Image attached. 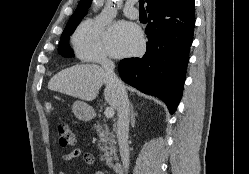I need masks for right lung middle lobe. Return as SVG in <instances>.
I'll use <instances>...</instances> for the list:
<instances>
[{
  "instance_id": "dd1d6c3e",
  "label": "right lung middle lobe",
  "mask_w": 249,
  "mask_h": 174,
  "mask_svg": "<svg viewBox=\"0 0 249 174\" xmlns=\"http://www.w3.org/2000/svg\"><path fill=\"white\" fill-rule=\"evenodd\" d=\"M79 22L80 21L67 23V26H66L65 30L63 31V33H62L60 43H59V47H58V52L63 57H69L70 58V57L74 56L73 51L69 46V38H70V35L75 30V28L77 27V25L79 24Z\"/></svg>"
}]
</instances>
